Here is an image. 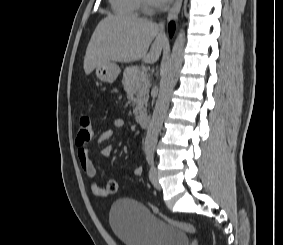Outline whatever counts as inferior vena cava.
Here are the masks:
<instances>
[{
  "mask_svg": "<svg viewBox=\"0 0 283 245\" xmlns=\"http://www.w3.org/2000/svg\"><path fill=\"white\" fill-rule=\"evenodd\" d=\"M160 26L163 28V24L161 23Z\"/></svg>",
  "mask_w": 283,
  "mask_h": 245,
  "instance_id": "inferior-vena-cava-1",
  "label": "inferior vena cava"
}]
</instances>
